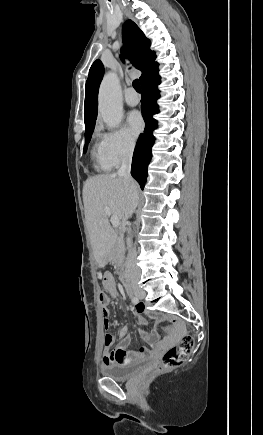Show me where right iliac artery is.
<instances>
[{
    "instance_id": "right-iliac-artery-1",
    "label": "right iliac artery",
    "mask_w": 263,
    "mask_h": 435,
    "mask_svg": "<svg viewBox=\"0 0 263 435\" xmlns=\"http://www.w3.org/2000/svg\"><path fill=\"white\" fill-rule=\"evenodd\" d=\"M138 301H139V300H138V298H137V297H135V296H133V297H132V302H133V303L137 304V303H138Z\"/></svg>"
}]
</instances>
